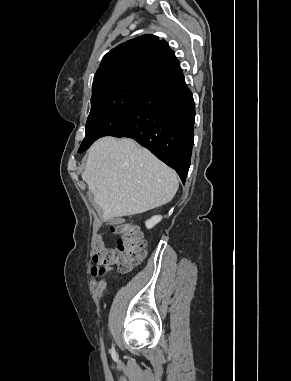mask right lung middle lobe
<instances>
[{
	"mask_svg": "<svg viewBox=\"0 0 291 381\" xmlns=\"http://www.w3.org/2000/svg\"><path fill=\"white\" fill-rule=\"evenodd\" d=\"M143 78H130L94 92L86 123V135L78 152H83L98 138L118 133Z\"/></svg>",
	"mask_w": 291,
	"mask_h": 381,
	"instance_id": "dd1d6c3e",
	"label": "right lung middle lobe"
}]
</instances>
